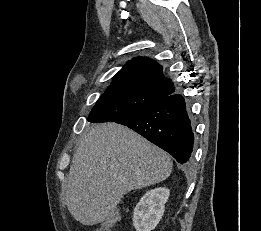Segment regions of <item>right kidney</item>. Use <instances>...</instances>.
<instances>
[{
  "mask_svg": "<svg viewBox=\"0 0 261 231\" xmlns=\"http://www.w3.org/2000/svg\"><path fill=\"white\" fill-rule=\"evenodd\" d=\"M170 191L156 188L146 192L134 209L133 225L136 231H152L160 222Z\"/></svg>",
  "mask_w": 261,
  "mask_h": 231,
  "instance_id": "obj_1",
  "label": "right kidney"
}]
</instances>
